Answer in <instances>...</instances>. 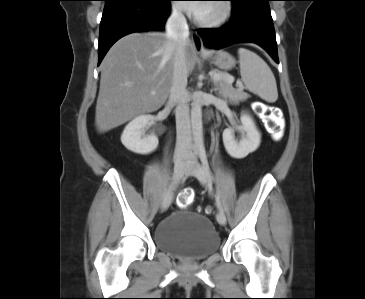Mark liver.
<instances>
[{"label":"liver","mask_w":365,"mask_h":299,"mask_svg":"<svg viewBox=\"0 0 365 299\" xmlns=\"http://www.w3.org/2000/svg\"><path fill=\"white\" fill-rule=\"evenodd\" d=\"M174 55V44L166 33L160 32L132 33L111 47L101 64L95 113L99 132H107L164 105L172 85ZM195 57L188 39V74L194 68Z\"/></svg>","instance_id":"6515ba94"}]
</instances>
